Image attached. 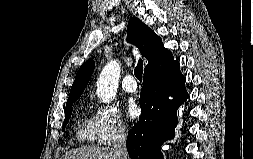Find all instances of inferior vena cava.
I'll return each mask as SVG.
<instances>
[{"mask_svg": "<svg viewBox=\"0 0 253 159\" xmlns=\"http://www.w3.org/2000/svg\"><path fill=\"white\" fill-rule=\"evenodd\" d=\"M126 127L123 124H118L113 141V150L118 154L120 159H128V153L126 149Z\"/></svg>", "mask_w": 253, "mask_h": 159, "instance_id": "inferior-vena-cava-1", "label": "inferior vena cava"}]
</instances>
